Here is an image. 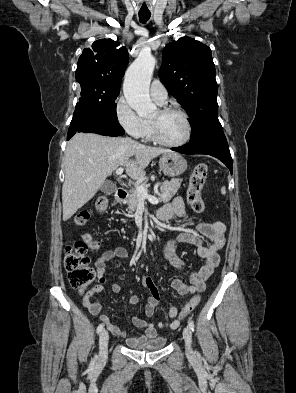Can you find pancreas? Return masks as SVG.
<instances>
[{"instance_id":"1","label":"pancreas","mask_w":296,"mask_h":393,"mask_svg":"<svg viewBox=\"0 0 296 393\" xmlns=\"http://www.w3.org/2000/svg\"><path fill=\"white\" fill-rule=\"evenodd\" d=\"M181 179H172L171 181H165L160 186V193L157 194V199L160 202L167 203L177 193L181 185ZM147 190L150 185L142 184ZM140 197L138 196L137 190H132L126 201L128 205L129 213H133L137 210L139 205Z\"/></svg>"}]
</instances>
